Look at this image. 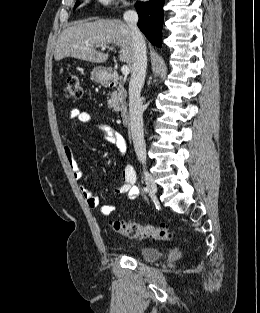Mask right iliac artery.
Returning a JSON list of instances; mask_svg holds the SVG:
<instances>
[{"instance_id":"obj_1","label":"right iliac artery","mask_w":260,"mask_h":313,"mask_svg":"<svg viewBox=\"0 0 260 313\" xmlns=\"http://www.w3.org/2000/svg\"><path fill=\"white\" fill-rule=\"evenodd\" d=\"M143 191H144V192H147L148 189H147L146 187H144V188H143ZM137 192H138V188H137Z\"/></svg>"}]
</instances>
